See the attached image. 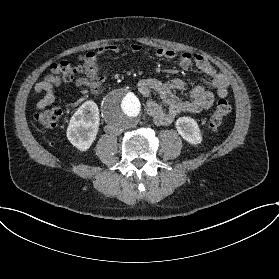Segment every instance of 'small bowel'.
I'll use <instances>...</instances> for the list:
<instances>
[{
	"label": "small bowel",
	"instance_id": "1",
	"mask_svg": "<svg viewBox=\"0 0 279 279\" xmlns=\"http://www.w3.org/2000/svg\"><path fill=\"white\" fill-rule=\"evenodd\" d=\"M134 51H139L142 47L139 44L132 46ZM118 51L116 44H103L97 49L89 50L81 56L83 63V76L77 77L74 84L79 87H86L92 92H98L101 84L108 76L107 70L99 67V61L102 56H112ZM158 59H176L179 66L187 70L193 64L207 77L209 85L220 98L228 95L229 81L217 72V70L207 61L200 53L194 52H178L172 48L161 47L155 52ZM60 85L53 75H47L42 81L38 82L33 94L43 93V97L39 99L35 108L37 110L45 109L52 105L55 101L54 88ZM189 88L188 83L180 78H174L163 82L159 79L148 77L137 82L139 93L148 98L146 101V109L153 121L158 125H168L172 123L176 117L186 112H200L209 109L214 102V93L201 85L190 87V99L182 100L175 92L186 90ZM152 93L157 94L162 103L150 99Z\"/></svg>",
	"mask_w": 279,
	"mask_h": 279
}]
</instances>
